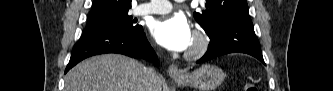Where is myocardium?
Instances as JSON below:
<instances>
[{
  "label": "myocardium",
  "mask_w": 333,
  "mask_h": 91,
  "mask_svg": "<svg viewBox=\"0 0 333 91\" xmlns=\"http://www.w3.org/2000/svg\"><path fill=\"white\" fill-rule=\"evenodd\" d=\"M193 45L185 53V58L195 60L202 57L208 50L210 39L208 35L201 29H197L193 34Z\"/></svg>",
  "instance_id": "f54148a6"
}]
</instances>
